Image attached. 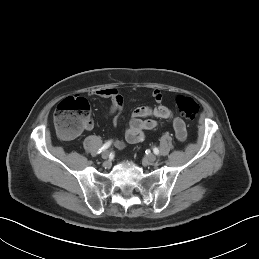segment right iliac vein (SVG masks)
Returning a JSON list of instances; mask_svg holds the SVG:
<instances>
[{
	"label": "right iliac vein",
	"instance_id": "1",
	"mask_svg": "<svg viewBox=\"0 0 259 259\" xmlns=\"http://www.w3.org/2000/svg\"><path fill=\"white\" fill-rule=\"evenodd\" d=\"M101 156H102L103 159L107 160L109 158V152L104 151ZM110 165H111L110 161L105 162V166L109 167Z\"/></svg>",
	"mask_w": 259,
	"mask_h": 259
}]
</instances>
